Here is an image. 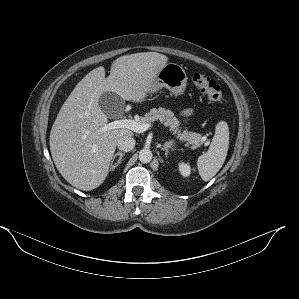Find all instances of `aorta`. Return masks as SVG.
I'll return each mask as SVG.
<instances>
[{
	"instance_id": "762f6f07",
	"label": "aorta",
	"mask_w": 299,
	"mask_h": 299,
	"mask_svg": "<svg viewBox=\"0 0 299 299\" xmlns=\"http://www.w3.org/2000/svg\"><path fill=\"white\" fill-rule=\"evenodd\" d=\"M152 152L149 149H142L139 152V160L142 163H149L152 160Z\"/></svg>"
}]
</instances>
